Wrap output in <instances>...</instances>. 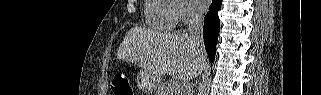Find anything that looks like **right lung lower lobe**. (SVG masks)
I'll use <instances>...</instances> for the list:
<instances>
[{
	"mask_svg": "<svg viewBox=\"0 0 321 95\" xmlns=\"http://www.w3.org/2000/svg\"><path fill=\"white\" fill-rule=\"evenodd\" d=\"M222 0H213L209 12L205 16L203 38L206 51L211 61L215 58V49L220 29L218 11Z\"/></svg>",
	"mask_w": 321,
	"mask_h": 95,
	"instance_id": "98d812e1",
	"label": "right lung lower lobe"
}]
</instances>
